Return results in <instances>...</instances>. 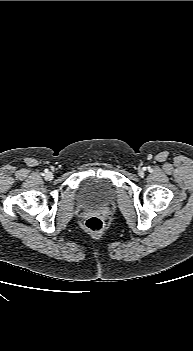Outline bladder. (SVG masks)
Wrapping results in <instances>:
<instances>
[{
  "label": "bladder",
  "instance_id": "31cf9c89",
  "mask_svg": "<svg viewBox=\"0 0 193 351\" xmlns=\"http://www.w3.org/2000/svg\"><path fill=\"white\" fill-rule=\"evenodd\" d=\"M113 195L114 189L107 180L90 178L82 183L78 199L84 204L96 205L108 202Z\"/></svg>",
  "mask_w": 193,
  "mask_h": 351
}]
</instances>
